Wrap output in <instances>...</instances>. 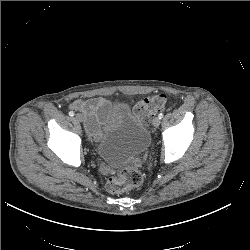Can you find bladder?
<instances>
[{"instance_id": "1", "label": "bladder", "mask_w": 250, "mask_h": 250, "mask_svg": "<svg viewBox=\"0 0 250 250\" xmlns=\"http://www.w3.org/2000/svg\"><path fill=\"white\" fill-rule=\"evenodd\" d=\"M104 121L103 136L94 150L108 164H125L148 150L150 133L126 103L116 106Z\"/></svg>"}]
</instances>
